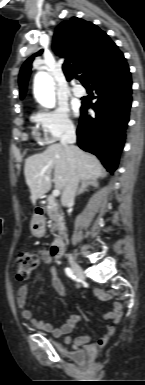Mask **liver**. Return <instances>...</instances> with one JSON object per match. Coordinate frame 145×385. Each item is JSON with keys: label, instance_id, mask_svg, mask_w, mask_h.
I'll return each instance as SVG.
<instances>
[{"label": "liver", "instance_id": "liver-1", "mask_svg": "<svg viewBox=\"0 0 145 385\" xmlns=\"http://www.w3.org/2000/svg\"><path fill=\"white\" fill-rule=\"evenodd\" d=\"M69 152L76 157L77 172L82 182L95 181L104 172L103 166L94 155L76 146L68 150L61 143L52 144L44 152L34 154L25 160L24 175L33 204L51 189L52 172H54L55 188L64 190L70 176Z\"/></svg>", "mask_w": 145, "mask_h": 385}]
</instances>
